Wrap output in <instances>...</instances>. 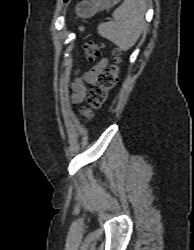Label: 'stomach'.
<instances>
[{"label":"stomach","instance_id":"stomach-1","mask_svg":"<svg viewBox=\"0 0 194 250\" xmlns=\"http://www.w3.org/2000/svg\"><path fill=\"white\" fill-rule=\"evenodd\" d=\"M120 0H93V1H83L75 7V12L77 17L86 18L91 17L95 13L101 10H109Z\"/></svg>","mask_w":194,"mask_h":250}]
</instances>
